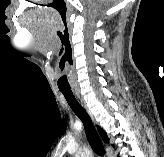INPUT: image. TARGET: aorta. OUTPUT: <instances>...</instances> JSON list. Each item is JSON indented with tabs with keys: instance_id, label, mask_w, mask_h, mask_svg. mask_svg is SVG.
<instances>
[{
	"instance_id": "762f6f07",
	"label": "aorta",
	"mask_w": 164,
	"mask_h": 157,
	"mask_svg": "<svg viewBox=\"0 0 164 157\" xmlns=\"http://www.w3.org/2000/svg\"><path fill=\"white\" fill-rule=\"evenodd\" d=\"M75 157H92V152L88 147H83L76 153Z\"/></svg>"
}]
</instances>
